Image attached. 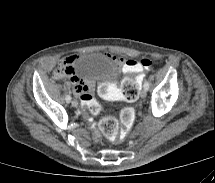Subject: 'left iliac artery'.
Instances as JSON below:
<instances>
[{"instance_id": "1", "label": "left iliac artery", "mask_w": 215, "mask_h": 183, "mask_svg": "<svg viewBox=\"0 0 215 183\" xmlns=\"http://www.w3.org/2000/svg\"><path fill=\"white\" fill-rule=\"evenodd\" d=\"M144 89L148 90L149 89V82L145 81L144 83Z\"/></svg>"}]
</instances>
